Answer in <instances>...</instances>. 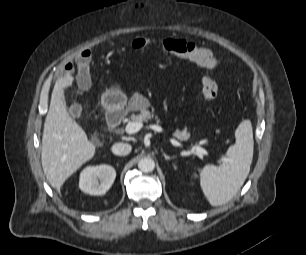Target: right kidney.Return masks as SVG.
I'll list each match as a JSON object with an SVG mask.
<instances>
[{"label": "right kidney", "mask_w": 306, "mask_h": 255, "mask_svg": "<svg viewBox=\"0 0 306 255\" xmlns=\"http://www.w3.org/2000/svg\"><path fill=\"white\" fill-rule=\"evenodd\" d=\"M115 177L116 171L110 165L89 166L80 174L79 187L90 195H103L112 186Z\"/></svg>", "instance_id": "obj_1"}]
</instances>
